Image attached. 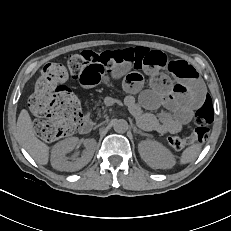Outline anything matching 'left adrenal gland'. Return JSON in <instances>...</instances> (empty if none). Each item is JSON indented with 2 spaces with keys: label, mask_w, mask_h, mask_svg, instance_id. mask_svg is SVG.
Returning a JSON list of instances; mask_svg holds the SVG:
<instances>
[{
  "label": "left adrenal gland",
  "mask_w": 231,
  "mask_h": 231,
  "mask_svg": "<svg viewBox=\"0 0 231 231\" xmlns=\"http://www.w3.org/2000/svg\"><path fill=\"white\" fill-rule=\"evenodd\" d=\"M133 131H134V133H138V134L143 135V136H148L147 133L142 132L141 130L137 129L136 127H134Z\"/></svg>",
  "instance_id": "obj_1"
}]
</instances>
